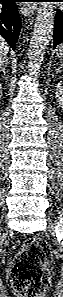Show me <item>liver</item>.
Segmentation results:
<instances>
[{"label":"liver","mask_w":63,"mask_h":297,"mask_svg":"<svg viewBox=\"0 0 63 297\" xmlns=\"http://www.w3.org/2000/svg\"><path fill=\"white\" fill-rule=\"evenodd\" d=\"M9 52V46L4 39H0V64L6 61L7 54Z\"/></svg>","instance_id":"obj_1"}]
</instances>
